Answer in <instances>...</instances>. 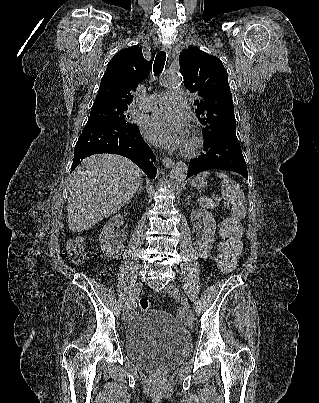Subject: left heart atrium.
<instances>
[{
    "label": "left heart atrium",
    "mask_w": 319,
    "mask_h": 403,
    "mask_svg": "<svg viewBox=\"0 0 319 403\" xmlns=\"http://www.w3.org/2000/svg\"><path fill=\"white\" fill-rule=\"evenodd\" d=\"M142 130L147 139L163 148H180L187 139L183 120L173 112L146 116L142 123Z\"/></svg>",
    "instance_id": "1"
}]
</instances>
